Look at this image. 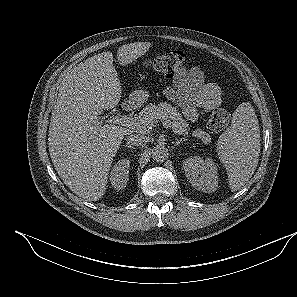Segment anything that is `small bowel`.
I'll return each instance as SVG.
<instances>
[{"label":"small bowel","mask_w":297,"mask_h":297,"mask_svg":"<svg viewBox=\"0 0 297 297\" xmlns=\"http://www.w3.org/2000/svg\"><path fill=\"white\" fill-rule=\"evenodd\" d=\"M165 97L176 104L189 122H195L204 112L212 111L223 103L221 88L205 81L199 67L184 69L174 76L172 85L164 89Z\"/></svg>","instance_id":"1"}]
</instances>
